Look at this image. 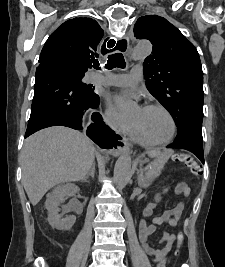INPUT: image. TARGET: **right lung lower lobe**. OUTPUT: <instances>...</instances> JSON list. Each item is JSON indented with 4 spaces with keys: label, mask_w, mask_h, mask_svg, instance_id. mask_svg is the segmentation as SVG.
<instances>
[{
    "label": "right lung lower lobe",
    "mask_w": 225,
    "mask_h": 267,
    "mask_svg": "<svg viewBox=\"0 0 225 267\" xmlns=\"http://www.w3.org/2000/svg\"><path fill=\"white\" fill-rule=\"evenodd\" d=\"M78 75L53 62H41L36 69L34 97L25 138L50 126H67L76 130L87 127V135L100 147L110 149L119 138L107 128L98 113L88 115L94 121L83 125L85 111L98 107L78 85Z\"/></svg>",
    "instance_id": "right-lung-lower-lobe-1"
}]
</instances>
